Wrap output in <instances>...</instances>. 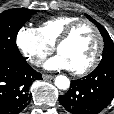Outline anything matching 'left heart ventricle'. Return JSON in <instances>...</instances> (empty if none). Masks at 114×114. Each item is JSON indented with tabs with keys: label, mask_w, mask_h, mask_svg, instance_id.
Segmentation results:
<instances>
[{
	"label": "left heart ventricle",
	"mask_w": 114,
	"mask_h": 114,
	"mask_svg": "<svg viewBox=\"0 0 114 114\" xmlns=\"http://www.w3.org/2000/svg\"><path fill=\"white\" fill-rule=\"evenodd\" d=\"M98 40L93 29L82 24L76 28L69 40L59 48L61 54L70 64L71 69H81L93 59Z\"/></svg>",
	"instance_id": "1"
}]
</instances>
